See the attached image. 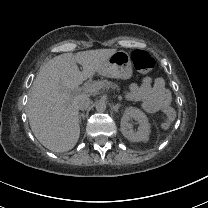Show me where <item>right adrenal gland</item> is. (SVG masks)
Returning <instances> with one entry per match:
<instances>
[{
    "label": "right adrenal gland",
    "instance_id": "1",
    "mask_svg": "<svg viewBox=\"0 0 208 208\" xmlns=\"http://www.w3.org/2000/svg\"><path fill=\"white\" fill-rule=\"evenodd\" d=\"M83 117H84V114H83V113L79 115V119H80V120H81Z\"/></svg>",
    "mask_w": 208,
    "mask_h": 208
}]
</instances>
